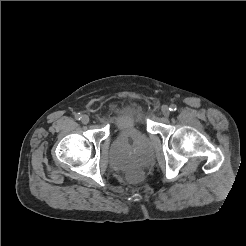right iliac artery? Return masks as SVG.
Here are the masks:
<instances>
[{"mask_svg":"<svg viewBox=\"0 0 246 246\" xmlns=\"http://www.w3.org/2000/svg\"><path fill=\"white\" fill-rule=\"evenodd\" d=\"M75 118H76L77 120H80V119L82 118V115H81L80 113H77V114L75 115Z\"/></svg>","mask_w":246,"mask_h":246,"instance_id":"right-iliac-artery-1","label":"right iliac artery"}]
</instances>
